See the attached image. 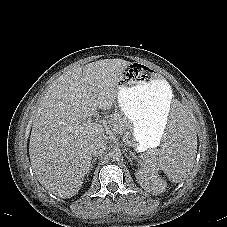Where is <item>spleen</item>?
<instances>
[{"instance_id": "spleen-1", "label": "spleen", "mask_w": 227, "mask_h": 227, "mask_svg": "<svg viewBox=\"0 0 227 227\" xmlns=\"http://www.w3.org/2000/svg\"><path fill=\"white\" fill-rule=\"evenodd\" d=\"M196 153L197 136L189 119V110L183 104H176L170 110L162 150L145 151L140 164L147 173L156 174L163 170L172 182L179 183L191 172Z\"/></svg>"}]
</instances>
